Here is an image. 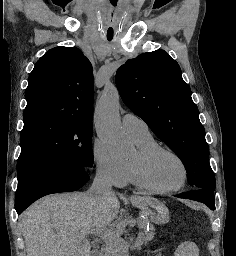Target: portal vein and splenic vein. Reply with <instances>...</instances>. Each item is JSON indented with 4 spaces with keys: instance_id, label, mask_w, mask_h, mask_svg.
Segmentation results:
<instances>
[{
    "instance_id": "portal-vein-and-splenic-vein-1",
    "label": "portal vein and splenic vein",
    "mask_w": 236,
    "mask_h": 256,
    "mask_svg": "<svg viewBox=\"0 0 236 256\" xmlns=\"http://www.w3.org/2000/svg\"><path fill=\"white\" fill-rule=\"evenodd\" d=\"M114 228H121V224H116V226H114ZM107 232H109V230H105V228H102V230H99V232H97V234H99L100 238H104L105 234H107Z\"/></svg>"
}]
</instances>
